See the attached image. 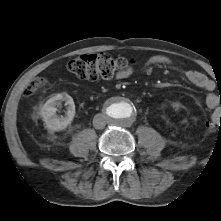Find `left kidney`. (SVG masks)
I'll return each instance as SVG.
<instances>
[{
  "label": "left kidney",
  "mask_w": 221,
  "mask_h": 221,
  "mask_svg": "<svg viewBox=\"0 0 221 221\" xmlns=\"http://www.w3.org/2000/svg\"><path fill=\"white\" fill-rule=\"evenodd\" d=\"M173 106H174V108H175L176 110H178V109L180 108V104H179V103H174Z\"/></svg>",
  "instance_id": "left-kidney-1"
}]
</instances>
